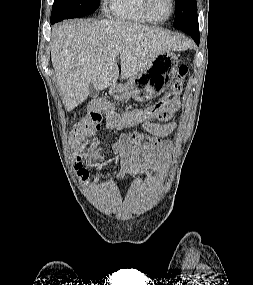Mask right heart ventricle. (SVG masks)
<instances>
[{"label": "right heart ventricle", "mask_w": 253, "mask_h": 285, "mask_svg": "<svg viewBox=\"0 0 253 285\" xmlns=\"http://www.w3.org/2000/svg\"><path fill=\"white\" fill-rule=\"evenodd\" d=\"M108 11L117 19L135 23H151L142 9V0H108Z\"/></svg>", "instance_id": "obj_1"}]
</instances>
